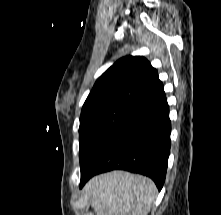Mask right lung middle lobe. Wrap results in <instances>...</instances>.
<instances>
[{
    "label": "right lung middle lobe",
    "mask_w": 221,
    "mask_h": 215,
    "mask_svg": "<svg viewBox=\"0 0 221 215\" xmlns=\"http://www.w3.org/2000/svg\"><path fill=\"white\" fill-rule=\"evenodd\" d=\"M135 107L117 102H94L83 105L80 116V167L83 172L107 138Z\"/></svg>",
    "instance_id": "obj_1"
}]
</instances>
